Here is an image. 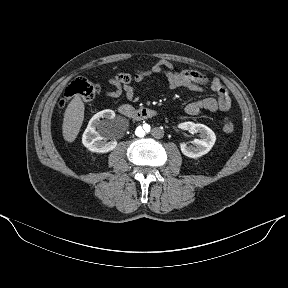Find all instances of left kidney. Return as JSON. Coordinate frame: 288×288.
I'll use <instances>...</instances> for the list:
<instances>
[{
	"label": "left kidney",
	"instance_id": "1",
	"mask_svg": "<svg viewBox=\"0 0 288 288\" xmlns=\"http://www.w3.org/2000/svg\"><path fill=\"white\" fill-rule=\"evenodd\" d=\"M180 129L188 130L190 133H199L200 139L193 141L194 146H188L181 143V152L189 158H198L207 154L216 141L215 133L204 124H196L193 122H184L179 124Z\"/></svg>",
	"mask_w": 288,
	"mask_h": 288
}]
</instances>
